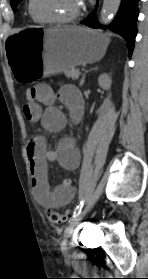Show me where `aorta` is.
<instances>
[{"instance_id":"aorta-1","label":"aorta","mask_w":148,"mask_h":279,"mask_svg":"<svg viewBox=\"0 0 148 279\" xmlns=\"http://www.w3.org/2000/svg\"><path fill=\"white\" fill-rule=\"evenodd\" d=\"M121 4V0H104L101 13H100V21L102 24H108L112 21L114 16L116 15L119 6Z\"/></svg>"}]
</instances>
